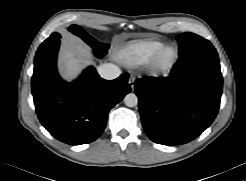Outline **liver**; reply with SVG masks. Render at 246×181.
Here are the masks:
<instances>
[{
  "instance_id": "obj_1",
  "label": "liver",
  "mask_w": 246,
  "mask_h": 181,
  "mask_svg": "<svg viewBox=\"0 0 246 181\" xmlns=\"http://www.w3.org/2000/svg\"><path fill=\"white\" fill-rule=\"evenodd\" d=\"M90 52L81 43L67 44L61 53L60 62L63 68V77L69 81L78 76L83 67L89 63Z\"/></svg>"
}]
</instances>
